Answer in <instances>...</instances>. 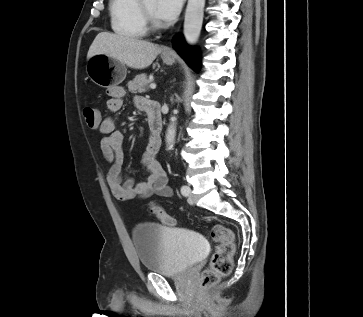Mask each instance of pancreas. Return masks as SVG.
<instances>
[{"label":"pancreas","mask_w":363,"mask_h":317,"mask_svg":"<svg viewBox=\"0 0 363 317\" xmlns=\"http://www.w3.org/2000/svg\"><path fill=\"white\" fill-rule=\"evenodd\" d=\"M150 81L147 79L145 73L136 75L132 81H129L127 86L131 93H142L148 90V84Z\"/></svg>","instance_id":"1"}]
</instances>
